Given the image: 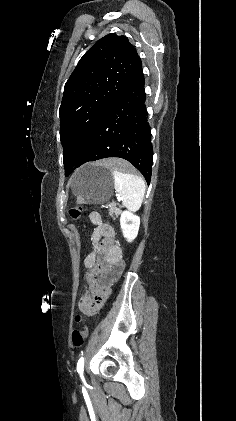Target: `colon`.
I'll return each instance as SVG.
<instances>
[{"instance_id": "1", "label": "colon", "mask_w": 236, "mask_h": 421, "mask_svg": "<svg viewBox=\"0 0 236 421\" xmlns=\"http://www.w3.org/2000/svg\"><path fill=\"white\" fill-rule=\"evenodd\" d=\"M83 212H84V207L81 206V205H77V206H74L70 210V216H71L72 219L78 220V219L81 218ZM76 322L78 324H81L82 326H81V328L75 329L72 332V344H73L74 347H80V346L83 345V343H84V341L87 337L88 331H87V328L83 325L84 318L81 314H78L76 316Z\"/></svg>"}]
</instances>
